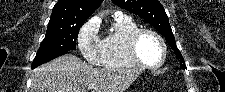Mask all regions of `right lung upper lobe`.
I'll list each match as a JSON object with an SVG mask.
<instances>
[{"instance_id": "cb5924a9", "label": "right lung upper lobe", "mask_w": 225, "mask_h": 92, "mask_svg": "<svg viewBox=\"0 0 225 92\" xmlns=\"http://www.w3.org/2000/svg\"><path fill=\"white\" fill-rule=\"evenodd\" d=\"M103 0H59L53 7L48 25H63L74 20L85 21Z\"/></svg>"}]
</instances>
